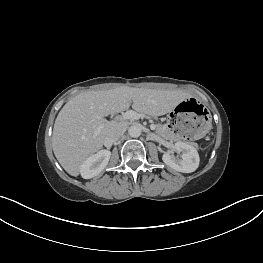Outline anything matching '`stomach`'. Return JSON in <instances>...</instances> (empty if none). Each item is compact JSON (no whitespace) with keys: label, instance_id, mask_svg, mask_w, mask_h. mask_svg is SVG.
Listing matches in <instances>:
<instances>
[{"label":"stomach","instance_id":"stomach-1","mask_svg":"<svg viewBox=\"0 0 263 263\" xmlns=\"http://www.w3.org/2000/svg\"><path fill=\"white\" fill-rule=\"evenodd\" d=\"M167 126L178 140H202L212 130V114L203 102L193 98L182 99L170 111Z\"/></svg>","mask_w":263,"mask_h":263}]
</instances>
